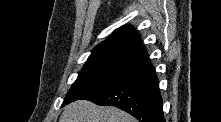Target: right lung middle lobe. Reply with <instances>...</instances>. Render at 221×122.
Returning a JSON list of instances; mask_svg holds the SVG:
<instances>
[{
    "label": "right lung middle lobe",
    "mask_w": 221,
    "mask_h": 122,
    "mask_svg": "<svg viewBox=\"0 0 221 122\" xmlns=\"http://www.w3.org/2000/svg\"><path fill=\"white\" fill-rule=\"evenodd\" d=\"M138 61L102 58L87 61L65 97V104L100 92L125 77Z\"/></svg>",
    "instance_id": "1"
}]
</instances>
